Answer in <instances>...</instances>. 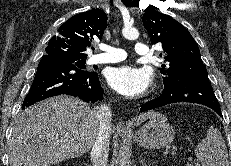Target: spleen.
Listing matches in <instances>:
<instances>
[{
	"instance_id": "obj_1",
	"label": "spleen",
	"mask_w": 231,
	"mask_h": 166,
	"mask_svg": "<svg viewBox=\"0 0 231 166\" xmlns=\"http://www.w3.org/2000/svg\"><path fill=\"white\" fill-rule=\"evenodd\" d=\"M195 155L201 166H229L225 141L214 126L208 128L206 137L197 144Z\"/></svg>"
}]
</instances>
